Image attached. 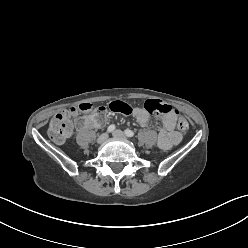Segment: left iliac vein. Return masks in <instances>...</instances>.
<instances>
[{
    "label": "left iliac vein",
    "mask_w": 248,
    "mask_h": 248,
    "mask_svg": "<svg viewBox=\"0 0 248 248\" xmlns=\"http://www.w3.org/2000/svg\"><path fill=\"white\" fill-rule=\"evenodd\" d=\"M112 135L115 138H119V139H123V140H126L127 139L126 135L121 130H115L112 133Z\"/></svg>",
    "instance_id": "obj_1"
}]
</instances>
